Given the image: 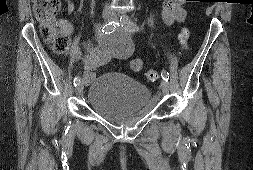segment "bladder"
<instances>
[{
	"label": "bladder",
	"instance_id": "obj_1",
	"mask_svg": "<svg viewBox=\"0 0 253 170\" xmlns=\"http://www.w3.org/2000/svg\"><path fill=\"white\" fill-rule=\"evenodd\" d=\"M151 96V89L138 79L121 72H104L90 83L87 101L103 119L122 124L143 115Z\"/></svg>",
	"mask_w": 253,
	"mask_h": 170
}]
</instances>
